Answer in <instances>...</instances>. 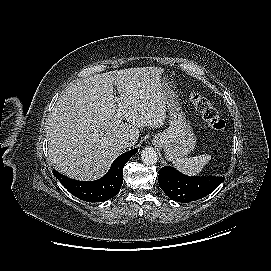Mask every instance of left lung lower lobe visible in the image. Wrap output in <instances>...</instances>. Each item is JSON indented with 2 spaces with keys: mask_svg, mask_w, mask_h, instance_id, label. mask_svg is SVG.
Returning a JSON list of instances; mask_svg holds the SVG:
<instances>
[{
  "mask_svg": "<svg viewBox=\"0 0 271 271\" xmlns=\"http://www.w3.org/2000/svg\"><path fill=\"white\" fill-rule=\"evenodd\" d=\"M224 180L216 176H186L175 168L160 169L158 182L165 194L174 201L187 203L201 199L213 192Z\"/></svg>",
  "mask_w": 271,
  "mask_h": 271,
  "instance_id": "1",
  "label": "left lung lower lobe"
}]
</instances>
